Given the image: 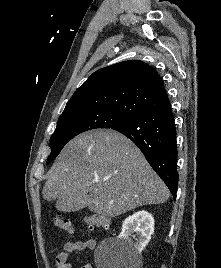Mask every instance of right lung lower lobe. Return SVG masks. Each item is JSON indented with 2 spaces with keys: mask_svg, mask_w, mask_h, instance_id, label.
<instances>
[{
  "mask_svg": "<svg viewBox=\"0 0 221 268\" xmlns=\"http://www.w3.org/2000/svg\"><path fill=\"white\" fill-rule=\"evenodd\" d=\"M132 140L162 178L174 199L178 188L176 129L171 106L113 126Z\"/></svg>",
  "mask_w": 221,
  "mask_h": 268,
  "instance_id": "obj_1",
  "label": "right lung lower lobe"
}]
</instances>
